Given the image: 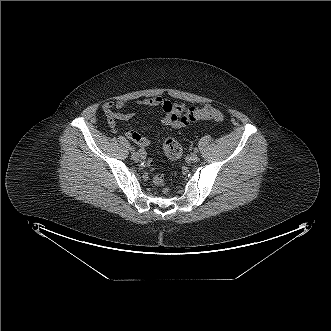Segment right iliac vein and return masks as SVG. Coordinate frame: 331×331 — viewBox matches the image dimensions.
I'll return each instance as SVG.
<instances>
[{
  "label": "right iliac vein",
  "instance_id": "1",
  "mask_svg": "<svg viewBox=\"0 0 331 331\" xmlns=\"http://www.w3.org/2000/svg\"><path fill=\"white\" fill-rule=\"evenodd\" d=\"M132 159L138 161L141 158V154L139 152L132 153Z\"/></svg>",
  "mask_w": 331,
  "mask_h": 331
}]
</instances>
